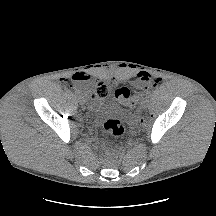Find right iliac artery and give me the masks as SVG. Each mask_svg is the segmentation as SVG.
Wrapping results in <instances>:
<instances>
[{"label": "right iliac artery", "instance_id": "1", "mask_svg": "<svg viewBox=\"0 0 216 216\" xmlns=\"http://www.w3.org/2000/svg\"><path fill=\"white\" fill-rule=\"evenodd\" d=\"M75 94L77 95V96H79V92L77 91V92H75Z\"/></svg>", "mask_w": 216, "mask_h": 216}]
</instances>
